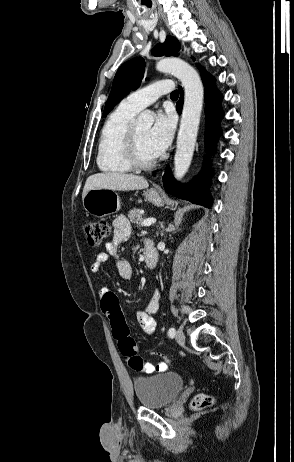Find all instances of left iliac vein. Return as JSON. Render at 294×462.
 <instances>
[{"label":"left iliac vein","instance_id":"left-iliac-vein-1","mask_svg":"<svg viewBox=\"0 0 294 462\" xmlns=\"http://www.w3.org/2000/svg\"><path fill=\"white\" fill-rule=\"evenodd\" d=\"M175 340L180 344L183 345L185 343V336L181 328H179L175 335Z\"/></svg>","mask_w":294,"mask_h":462}]
</instances>
